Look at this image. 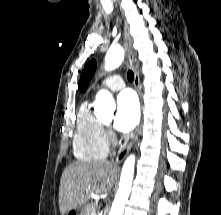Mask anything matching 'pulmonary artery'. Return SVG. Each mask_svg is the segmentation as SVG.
Returning <instances> with one entry per match:
<instances>
[{
	"label": "pulmonary artery",
	"mask_w": 221,
	"mask_h": 215,
	"mask_svg": "<svg viewBox=\"0 0 221 215\" xmlns=\"http://www.w3.org/2000/svg\"><path fill=\"white\" fill-rule=\"evenodd\" d=\"M102 86L111 91H118L125 87L123 78L120 75H112L102 82Z\"/></svg>",
	"instance_id": "obj_1"
}]
</instances>
